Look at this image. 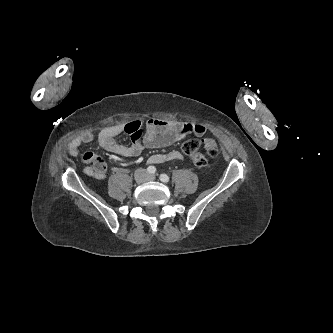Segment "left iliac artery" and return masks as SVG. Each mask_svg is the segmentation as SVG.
<instances>
[{
  "label": "left iliac artery",
  "mask_w": 333,
  "mask_h": 333,
  "mask_svg": "<svg viewBox=\"0 0 333 333\" xmlns=\"http://www.w3.org/2000/svg\"><path fill=\"white\" fill-rule=\"evenodd\" d=\"M159 178H160V180H161L162 182H164V183L169 182V176L166 175V174H161Z\"/></svg>",
  "instance_id": "44dca946"
}]
</instances>
